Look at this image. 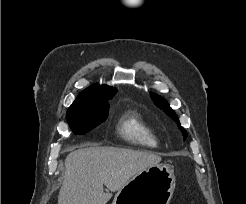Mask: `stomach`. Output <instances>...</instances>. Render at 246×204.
<instances>
[{"label": "stomach", "instance_id": "0dacf381", "mask_svg": "<svg viewBox=\"0 0 246 204\" xmlns=\"http://www.w3.org/2000/svg\"><path fill=\"white\" fill-rule=\"evenodd\" d=\"M175 176L166 165H154L132 177L115 195L112 204H169Z\"/></svg>", "mask_w": 246, "mask_h": 204}]
</instances>
